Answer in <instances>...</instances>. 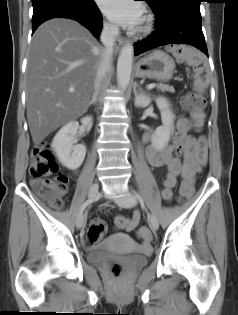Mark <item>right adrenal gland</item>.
Instances as JSON below:
<instances>
[{"instance_id": "right-adrenal-gland-1", "label": "right adrenal gland", "mask_w": 238, "mask_h": 315, "mask_svg": "<svg viewBox=\"0 0 238 315\" xmlns=\"http://www.w3.org/2000/svg\"><path fill=\"white\" fill-rule=\"evenodd\" d=\"M97 96H98V91H96L95 95L92 97V100H91L89 106H91L92 104H95L97 102Z\"/></svg>"}]
</instances>
